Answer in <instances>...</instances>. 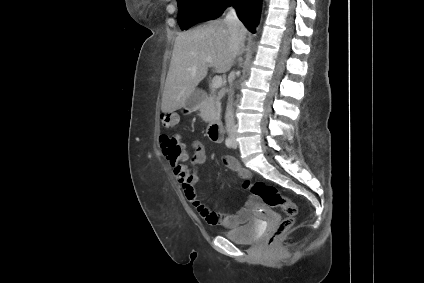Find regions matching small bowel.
<instances>
[{
	"label": "small bowel",
	"instance_id": "small-bowel-1",
	"mask_svg": "<svg viewBox=\"0 0 424 283\" xmlns=\"http://www.w3.org/2000/svg\"><path fill=\"white\" fill-rule=\"evenodd\" d=\"M191 149L192 155L190 159V166L184 164L173 166V174L180 184L185 198L210 224L222 225L225 227H236L245 222L249 216L251 208L253 207V200H248L246 205L237 213L228 216H221L212 212L209 207L198 198L196 193V184L199 179V167L206 161V150L203 143L198 140L192 142ZM184 159H187L186 154ZM223 163L226 167L236 172L240 177H251V172L242 167L232 156H223Z\"/></svg>",
	"mask_w": 424,
	"mask_h": 283
}]
</instances>
